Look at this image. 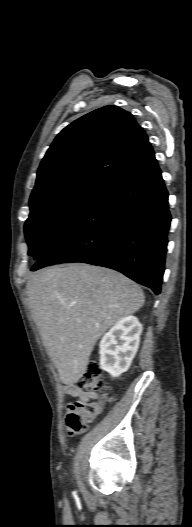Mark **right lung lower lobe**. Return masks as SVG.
Returning <instances> with one entry per match:
<instances>
[{
	"instance_id": "right-lung-lower-lobe-1",
	"label": "right lung lower lobe",
	"mask_w": 192,
	"mask_h": 527,
	"mask_svg": "<svg viewBox=\"0 0 192 527\" xmlns=\"http://www.w3.org/2000/svg\"><path fill=\"white\" fill-rule=\"evenodd\" d=\"M170 222L168 192L149 144L106 182L31 270L88 263L117 270L159 294Z\"/></svg>"
}]
</instances>
